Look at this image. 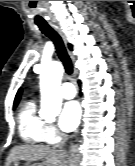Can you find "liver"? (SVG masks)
Wrapping results in <instances>:
<instances>
[{
    "label": "liver",
    "mask_w": 135,
    "mask_h": 166,
    "mask_svg": "<svg viewBox=\"0 0 135 166\" xmlns=\"http://www.w3.org/2000/svg\"><path fill=\"white\" fill-rule=\"evenodd\" d=\"M42 159L44 161L39 166H66L65 154L57 150L56 147L29 144L12 148L5 166H10L12 162L19 160L34 162Z\"/></svg>",
    "instance_id": "liver-1"
}]
</instances>
